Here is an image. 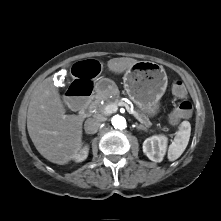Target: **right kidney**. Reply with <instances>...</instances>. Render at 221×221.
<instances>
[{"mask_svg":"<svg viewBox=\"0 0 221 221\" xmlns=\"http://www.w3.org/2000/svg\"><path fill=\"white\" fill-rule=\"evenodd\" d=\"M88 150H89L88 146L87 145L84 146L79 152L75 154L74 156L75 161L76 162L84 161L88 156Z\"/></svg>","mask_w":221,"mask_h":221,"instance_id":"right-kidney-1","label":"right kidney"}]
</instances>
